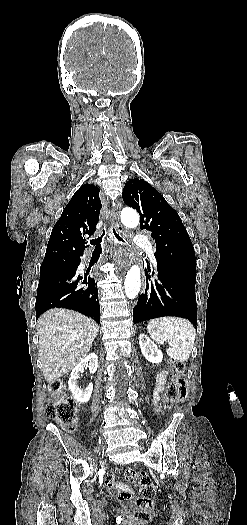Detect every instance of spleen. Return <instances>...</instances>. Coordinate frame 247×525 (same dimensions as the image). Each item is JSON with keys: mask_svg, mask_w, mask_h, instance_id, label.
<instances>
[{"mask_svg": "<svg viewBox=\"0 0 247 525\" xmlns=\"http://www.w3.org/2000/svg\"><path fill=\"white\" fill-rule=\"evenodd\" d=\"M147 331L158 345L173 340L172 346L166 349L170 359L180 363L188 361L196 337L195 327L190 321L179 317H159L149 321Z\"/></svg>", "mask_w": 247, "mask_h": 525, "instance_id": "1", "label": "spleen"}]
</instances>
